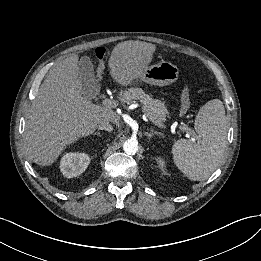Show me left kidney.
<instances>
[{"instance_id":"obj_1","label":"left kidney","mask_w":261,"mask_h":261,"mask_svg":"<svg viewBox=\"0 0 261 261\" xmlns=\"http://www.w3.org/2000/svg\"><path fill=\"white\" fill-rule=\"evenodd\" d=\"M157 163L159 164V167L162 169V170H164L165 169V161L163 160V159H161V158H158L157 159Z\"/></svg>"}]
</instances>
